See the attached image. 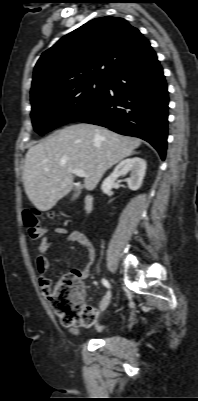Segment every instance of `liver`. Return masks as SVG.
Here are the masks:
<instances>
[{"label":"liver","instance_id":"6515ba94","mask_svg":"<svg viewBox=\"0 0 198 401\" xmlns=\"http://www.w3.org/2000/svg\"><path fill=\"white\" fill-rule=\"evenodd\" d=\"M141 139L91 124L65 127L32 146L25 157L22 180L29 200L41 211L50 210L73 188L82 169L85 188L94 190L104 173L130 156Z\"/></svg>","mask_w":198,"mask_h":401}]
</instances>
